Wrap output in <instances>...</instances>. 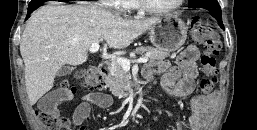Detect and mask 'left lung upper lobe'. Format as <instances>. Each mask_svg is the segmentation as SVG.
<instances>
[{"label":"left lung upper lobe","mask_w":257,"mask_h":130,"mask_svg":"<svg viewBox=\"0 0 257 130\" xmlns=\"http://www.w3.org/2000/svg\"><path fill=\"white\" fill-rule=\"evenodd\" d=\"M189 7L204 8L207 10L221 9L217 0H189Z\"/></svg>","instance_id":"1"}]
</instances>
